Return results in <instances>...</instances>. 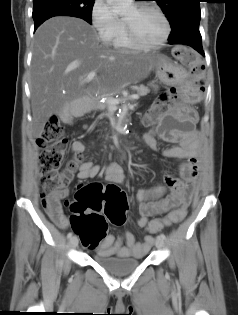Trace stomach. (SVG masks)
Masks as SVG:
<instances>
[{"label":"stomach","mask_w":238,"mask_h":315,"mask_svg":"<svg viewBox=\"0 0 238 315\" xmlns=\"http://www.w3.org/2000/svg\"><path fill=\"white\" fill-rule=\"evenodd\" d=\"M154 71L158 80H162V83L166 85H173L177 91H194V84H189L191 72H180L179 67L168 57L161 55L160 63ZM198 100V95L190 94V103H196ZM178 116H187L186 120L190 121V116H198V109H178Z\"/></svg>","instance_id":"0dacf381"}]
</instances>
